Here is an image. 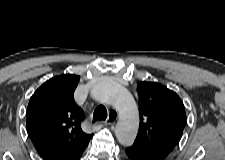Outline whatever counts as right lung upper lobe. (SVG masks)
<instances>
[{"label": "right lung upper lobe", "instance_id": "1", "mask_svg": "<svg viewBox=\"0 0 225 160\" xmlns=\"http://www.w3.org/2000/svg\"><path fill=\"white\" fill-rule=\"evenodd\" d=\"M79 79L71 74L51 78L30 98L28 135L46 160H79L92 137L84 130V112L74 102Z\"/></svg>", "mask_w": 225, "mask_h": 160}]
</instances>
